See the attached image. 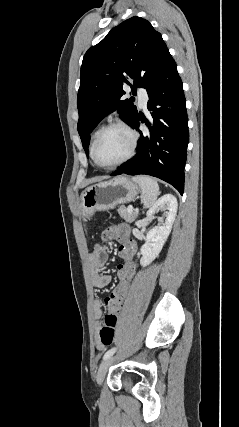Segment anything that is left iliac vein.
Returning <instances> with one entry per match:
<instances>
[{
    "instance_id": "obj_1",
    "label": "left iliac vein",
    "mask_w": 239,
    "mask_h": 427,
    "mask_svg": "<svg viewBox=\"0 0 239 427\" xmlns=\"http://www.w3.org/2000/svg\"><path fill=\"white\" fill-rule=\"evenodd\" d=\"M115 357H109L107 359H105L99 366L97 375H96V382L97 384L101 385L105 379V376L107 374V371L109 369V367L112 365V363L114 362Z\"/></svg>"
}]
</instances>
